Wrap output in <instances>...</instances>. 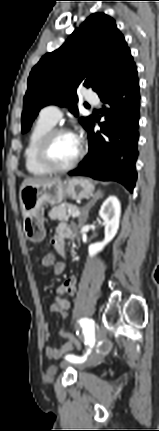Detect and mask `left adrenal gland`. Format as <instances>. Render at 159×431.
<instances>
[{
    "label": "left adrenal gland",
    "instance_id": "a2214340",
    "mask_svg": "<svg viewBox=\"0 0 159 431\" xmlns=\"http://www.w3.org/2000/svg\"><path fill=\"white\" fill-rule=\"evenodd\" d=\"M102 197H103L102 192L100 190H98L96 192V194L93 196L92 200H90L88 202V204L85 207H83L82 214H81V216L79 218V226L83 225L86 222V220L88 218V215H89L90 208L92 206H94V204L97 202V200H99Z\"/></svg>",
    "mask_w": 159,
    "mask_h": 431
}]
</instances>
